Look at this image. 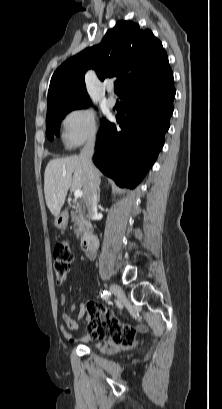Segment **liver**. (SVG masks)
Segmentation results:
<instances>
[{"mask_svg":"<svg viewBox=\"0 0 222 409\" xmlns=\"http://www.w3.org/2000/svg\"><path fill=\"white\" fill-rule=\"evenodd\" d=\"M99 173V172H98ZM85 172L77 155L56 158L49 161L44 174V194L50 212L56 217L60 214L68 190L84 187Z\"/></svg>","mask_w":222,"mask_h":409,"instance_id":"liver-1","label":"liver"}]
</instances>
